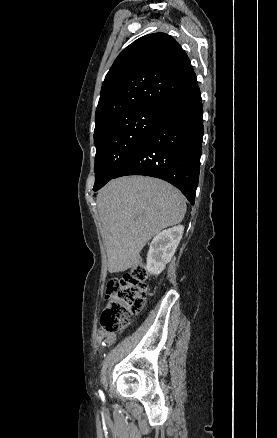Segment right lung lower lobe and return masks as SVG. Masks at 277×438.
<instances>
[{
	"instance_id": "right-lung-lower-lobe-1",
	"label": "right lung lower lobe",
	"mask_w": 277,
	"mask_h": 438,
	"mask_svg": "<svg viewBox=\"0 0 277 438\" xmlns=\"http://www.w3.org/2000/svg\"><path fill=\"white\" fill-rule=\"evenodd\" d=\"M155 66L166 71L173 68L164 63ZM202 137V99L197 84L164 106L145 141L113 178L125 175L157 177L177 187L194 204Z\"/></svg>"
}]
</instances>
